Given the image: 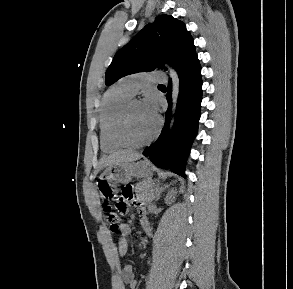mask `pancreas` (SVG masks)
<instances>
[{
    "mask_svg": "<svg viewBox=\"0 0 293 289\" xmlns=\"http://www.w3.org/2000/svg\"><path fill=\"white\" fill-rule=\"evenodd\" d=\"M135 191L137 198L144 202H151L155 198L151 182L142 181L137 183Z\"/></svg>",
    "mask_w": 293,
    "mask_h": 289,
    "instance_id": "obj_1",
    "label": "pancreas"
}]
</instances>
